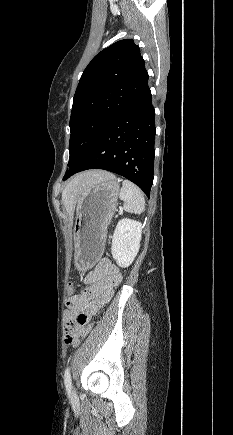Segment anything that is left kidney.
I'll return each mask as SVG.
<instances>
[{"label": "left kidney", "instance_id": "1", "mask_svg": "<svg viewBox=\"0 0 233 435\" xmlns=\"http://www.w3.org/2000/svg\"><path fill=\"white\" fill-rule=\"evenodd\" d=\"M141 234L140 222L129 218L118 222L113 234L111 253L120 267L126 268L134 261L140 248Z\"/></svg>", "mask_w": 233, "mask_h": 435}]
</instances>
